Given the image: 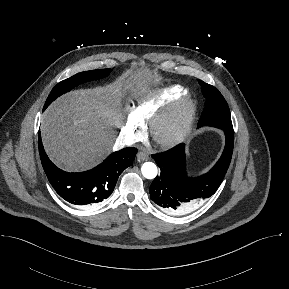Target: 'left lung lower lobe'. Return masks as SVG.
<instances>
[{
    "label": "left lung lower lobe",
    "mask_w": 289,
    "mask_h": 289,
    "mask_svg": "<svg viewBox=\"0 0 289 289\" xmlns=\"http://www.w3.org/2000/svg\"><path fill=\"white\" fill-rule=\"evenodd\" d=\"M226 143L215 166L199 177H189L185 163V144L152 155L161 170L150 186V198L161 210L170 214H184L199 206L220 186L229 167L233 145V128H224Z\"/></svg>",
    "instance_id": "left-lung-lower-lobe-1"
}]
</instances>
